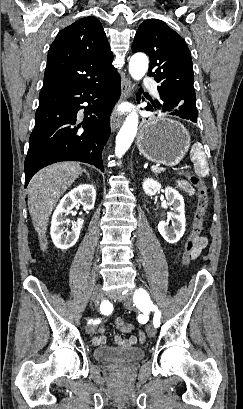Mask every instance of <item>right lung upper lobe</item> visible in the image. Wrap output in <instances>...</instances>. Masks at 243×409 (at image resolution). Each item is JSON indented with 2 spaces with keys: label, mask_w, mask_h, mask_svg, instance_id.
Wrapping results in <instances>:
<instances>
[{
  "label": "right lung upper lobe",
  "mask_w": 243,
  "mask_h": 409,
  "mask_svg": "<svg viewBox=\"0 0 243 409\" xmlns=\"http://www.w3.org/2000/svg\"><path fill=\"white\" fill-rule=\"evenodd\" d=\"M100 21L84 17L61 30L52 43L41 92L96 82L115 71Z\"/></svg>",
  "instance_id": "cb5924a9"
}]
</instances>
